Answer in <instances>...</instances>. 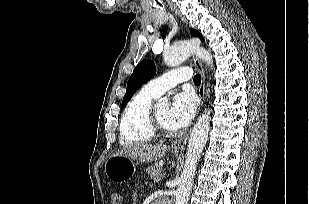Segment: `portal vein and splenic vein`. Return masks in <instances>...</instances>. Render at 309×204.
<instances>
[{
	"label": "portal vein and splenic vein",
	"mask_w": 309,
	"mask_h": 204,
	"mask_svg": "<svg viewBox=\"0 0 309 204\" xmlns=\"http://www.w3.org/2000/svg\"><path fill=\"white\" fill-rule=\"evenodd\" d=\"M164 176V173L161 175V177H163Z\"/></svg>",
	"instance_id": "obj_1"
}]
</instances>
